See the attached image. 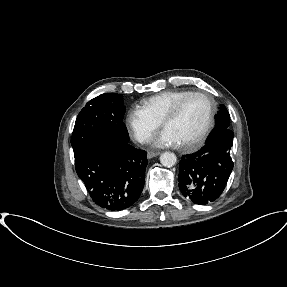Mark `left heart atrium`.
Wrapping results in <instances>:
<instances>
[{
  "label": "left heart atrium",
  "instance_id": "39dd6f15",
  "mask_svg": "<svg viewBox=\"0 0 287 287\" xmlns=\"http://www.w3.org/2000/svg\"><path fill=\"white\" fill-rule=\"evenodd\" d=\"M153 144L157 147H168L179 144L176 136L167 129H163L154 139Z\"/></svg>",
  "mask_w": 287,
  "mask_h": 287
}]
</instances>
